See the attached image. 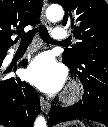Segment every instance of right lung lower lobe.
Wrapping results in <instances>:
<instances>
[{"label": "right lung lower lobe", "instance_id": "right-lung-lower-lobe-1", "mask_svg": "<svg viewBox=\"0 0 108 127\" xmlns=\"http://www.w3.org/2000/svg\"><path fill=\"white\" fill-rule=\"evenodd\" d=\"M0 49V67L7 54ZM27 61L22 65L26 66ZM8 70L0 69V124L6 127H32L40 112V100L34 88L19 78H6Z\"/></svg>", "mask_w": 108, "mask_h": 127}]
</instances>
